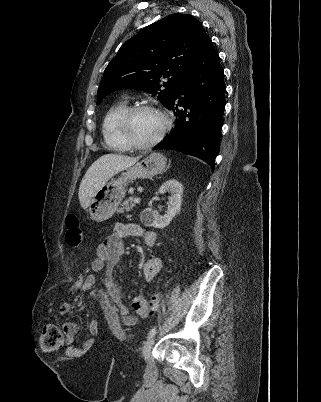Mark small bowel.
<instances>
[{
  "instance_id": "small-bowel-1",
  "label": "small bowel",
  "mask_w": 321,
  "mask_h": 402,
  "mask_svg": "<svg viewBox=\"0 0 321 402\" xmlns=\"http://www.w3.org/2000/svg\"><path fill=\"white\" fill-rule=\"evenodd\" d=\"M126 237H139L148 246H154L157 241V235L154 231L145 229L137 223H118L113 231L106 235L95 248V255L90 264L91 273L86 276L83 283L86 286L92 285L95 281V274L104 272L102 277V285L108 294V297L119 310L125 325L133 326L137 323V317L131 313L130 309L124 304L118 287L114 281V271L119 263L120 258L125 253L124 239ZM162 258L153 256L149 258L143 265V276L147 281H151L162 268ZM139 302H145L141 296H136L133 299V308ZM71 311V305L61 303L57 306V312L60 315H67ZM141 315V314H140ZM143 314L141 316L145 317ZM99 322L93 321L91 326H88L87 333L84 336V341L77 347L75 345L78 325L73 322H65L62 328L65 334L66 354L72 358H83L84 352L87 350V345H92L97 341V336L100 333Z\"/></svg>"
}]
</instances>
